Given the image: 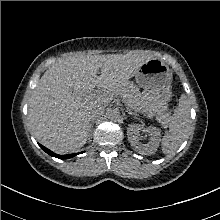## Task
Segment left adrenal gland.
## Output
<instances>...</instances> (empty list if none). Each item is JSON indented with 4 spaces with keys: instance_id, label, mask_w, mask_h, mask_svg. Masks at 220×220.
Segmentation results:
<instances>
[{
    "instance_id": "left-adrenal-gland-1",
    "label": "left adrenal gland",
    "mask_w": 220,
    "mask_h": 220,
    "mask_svg": "<svg viewBox=\"0 0 220 220\" xmlns=\"http://www.w3.org/2000/svg\"><path fill=\"white\" fill-rule=\"evenodd\" d=\"M128 114H129V115H137L136 113L131 112V111H128Z\"/></svg>"
}]
</instances>
